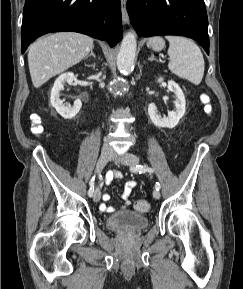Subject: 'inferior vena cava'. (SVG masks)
<instances>
[{
  "label": "inferior vena cava",
  "mask_w": 243,
  "mask_h": 289,
  "mask_svg": "<svg viewBox=\"0 0 243 289\" xmlns=\"http://www.w3.org/2000/svg\"><path fill=\"white\" fill-rule=\"evenodd\" d=\"M102 149H103L104 151H107V152H112V151H113L112 148H111V146H110L109 144H107V143H104Z\"/></svg>",
  "instance_id": "inferior-vena-cava-1"
}]
</instances>
